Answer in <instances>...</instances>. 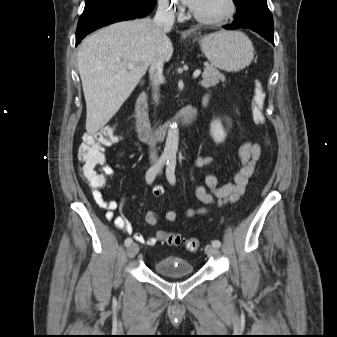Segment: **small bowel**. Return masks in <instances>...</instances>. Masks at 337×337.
Returning <instances> with one entry per match:
<instances>
[{
	"instance_id": "c3829d8e",
	"label": "small bowel",
	"mask_w": 337,
	"mask_h": 337,
	"mask_svg": "<svg viewBox=\"0 0 337 337\" xmlns=\"http://www.w3.org/2000/svg\"><path fill=\"white\" fill-rule=\"evenodd\" d=\"M210 101L209 96L203 98V105L206 107ZM125 152L119 154L118 157H123ZM262 155V148L259 144L253 142H244L239 147V158L241 168L234 175L233 179L223 185H219V179L215 172H210L205 178V185H198L194 183L192 172L197 168L213 167L215 160L210 156H196L192 160L190 168V180L194 184L196 197L206 206L199 208H188L183 212L185 218H192L196 215L207 214L210 210L209 205L217 204L219 206L228 202L233 203L245 193L246 186L249 179L254 174L260 162ZM104 173L108 177H113L115 171L110 166L104 167ZM164 188L155 186L153 188L154 198H160L164 195ZM92 197L95 203L102 209L106 210V219L113 221L118 230L125 232L128 235H133L134 239L147 246H154L159 239L157 236L144 237L140 233H133V227L130 221L123 214V203H118L114 200H106L99 189H93ZM167 221L175 223L177 221V213L175 211H168L165 214ZM160 217L155 211H148L145 214V221L151 225L156 226L159 223Z\"/></svg>"
}]
</instances>
